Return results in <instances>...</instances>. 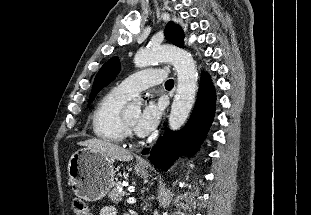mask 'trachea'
<instances>
[{
	"mask_svg": "<svg viewBox=\"0 0 311 215\" xmlns=\"http://www.w3.org/2000/svg\"><path fill=\"white\" fill-rule=\"evenodd\" d=\"M173 86H174L173 79H169V80L166 81V83H165V87L166 88H172Z\"/></svg>",
	"mask_w": 311,
	"mask_h": 215,
	"instance_id": "obj_1",
	"label": "trachea"
}]
</instances>
